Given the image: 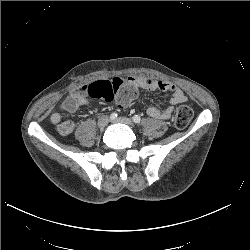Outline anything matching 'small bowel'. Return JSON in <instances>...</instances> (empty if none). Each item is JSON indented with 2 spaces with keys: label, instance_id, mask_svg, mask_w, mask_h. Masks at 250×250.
Listing matches in <instances>:
<instances>
[{
  "label": "small bowel",
  "instance_id": "1",
  "mask_svg": "<svg viewBox=\"0 0 250 250\" xmlns=\"http://www.w3.org/2000/svg\"><path fill=\"white\" fill-rule=\"evenodd\" d=\"M112 81L117 83L120 90L132 89L134 92V100L138 99V90H161L170 92L172 97L170 99V105L164 110L159 109L156 106H151L147 109V113L150 117L155 119L167 120L171 117L174 107L178 104L184 103L187 100L184 92L176 85L170 82H163L146 77H128L127 79L114 78ZM87 86H82L78 90L72 92L61 104V109L66 112H74L79 107L89 105L90 102L87 98ZM118 102V101H117ZM52 124L56 125L57 131L61 136H67L71 134L75 128L72 121H62V117L59 113H53L50 116Z\"/></svg>",
  "mask_w": 250,
  "mask_h": 250
}]
</instances>
